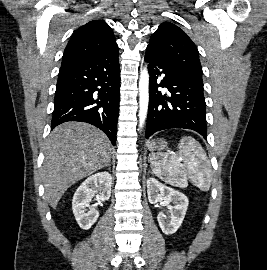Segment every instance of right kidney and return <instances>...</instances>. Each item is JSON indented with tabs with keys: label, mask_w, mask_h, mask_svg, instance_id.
Instances as JSON below:
<instances>
[{
	"label": "right kidney",
	"mask_w": 267,
	"mask_h": 270,
	"mask_svg": "<svg viewBox=\"0 0 267 270\" xmlns=\"http://www.w3.org/2000/svg\"><path fill=\"white\" fill-rule=\"evenodd\" d=\"M111 185V174L99 172L88 177L78 187L73 196L72 210L80 228L88 230L96 222L99 212L96 210V205H90V201L94 196L98 203L108 200L111 195Z\"/></svg>",
	"instance_id": "obj_1"
}]
</instances>
